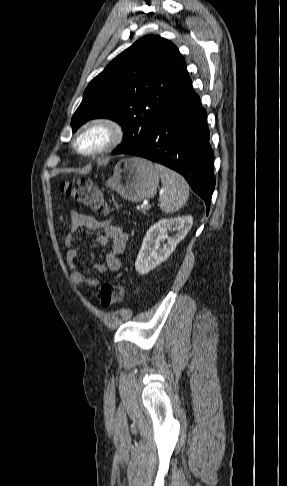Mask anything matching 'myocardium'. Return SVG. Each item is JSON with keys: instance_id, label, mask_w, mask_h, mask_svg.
Returning a JSON list of instances; mask_svg holds the SVG:
<instances>
[{"instance_id": "1", "label": "myocardium", "mask_w": 287, "mask_h": 486, "mask_svg": "<svg viewBox=\"0 0 287 486\" xmlns=\"http://www.w3.org/2000/svg\"><path fill=\"white\" fill-rule=\"evenodd\" d=\"M99 129L105 132L106 134V141L105 143L94 149V150H82L78 143L79 140L88 132ZM124 138V129L122 125L109 117H95L87 122H85L78 132L76 133L73 139V147L77 153L86 157H96L105 153H108L115 149L123 140Z\"/></svg>"}]
</instances>
